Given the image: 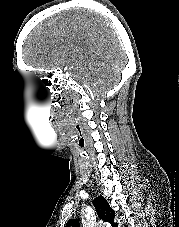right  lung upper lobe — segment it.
Listing matches in <instances>:
<instances>
[{
	"label": "right lung upper lobe",
	"instance_id": "obj_1",
	"mask_svg": "<svg viewBox=\"0 0 179 227\" xmlns=\"http://www.w3.org/2000/svg\"><path fill=\"white\" fill-rule=\"evenodd\" d=\"M93 205L98 213L99 218L111 224L112 227H118L117 223H114L115 212L111 209L110 205L103 196L97 197L93 201ZM65 227H80L79 222L76 219L70 220Z\"/></svg>",
	"mask_w": 179,
	"mask_h": 227
}]
</instances>
